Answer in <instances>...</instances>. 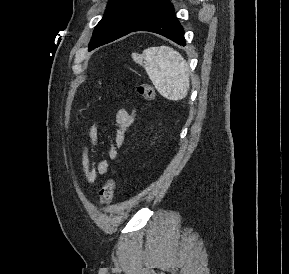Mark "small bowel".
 <instances>
[{"instance_id":"small-bowel-1","label":"small bowel","mask_w":289,"mask_h":274,"mask_svg":"<svg viewBox=\"0 0 289 274\" xmlns=\"http://www.w3.org/2000/svg\"><path fill=\"white\" fill-rule=\"evenodd\" d=\"M134 111L119 108L116 111V131L114 141L108 150L111 160L118 158L119 150L123 147L126 134L134 121ZM89 146L83 145L81 152L82 173L84 180L95 185L98 175H105L109 171V164L106 160H97L96 153L99 144V131L97 123L92 124L88 132Z\"/></svg>"}]
</instances>
